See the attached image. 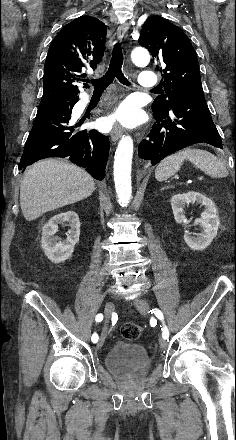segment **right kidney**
<instances>
[{"mask_svg":"<svg viewBox=\"0 0 236 440\" xmlns=\"http://www.w3.org/2000/svg\"><path fill=\"white\" fill-rule=\"evenodd\" d=\"M68 222L70 229L67 238L62 240L55 236L58 225ZM80 237V221L77 213L67 211L53 216L42 228L41 245L45 255L53 263H61L72 256L74 247Z\"/></svg>","mask_w":236,"mask_h":440,"instance_id":"1","label":"right kidney"}]
</instances>
